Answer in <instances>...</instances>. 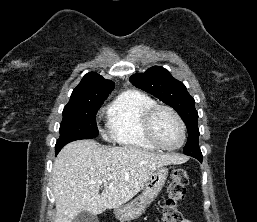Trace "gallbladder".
<instances>
[{"label":"gallbladder","instance_id":"bac80fb5","mask_svg":"<svg viewBox=\"0 0 257 222\" xmlns=\"http://www.w3.org/2000/svg\"><path fill=\"white\" fill-rule=\"evenodd\" d=\"M72 222H98V218L94 214L82 211L73 219Z\"/></svg>","mask_w":257,"mask_h":222}]
</instances>
